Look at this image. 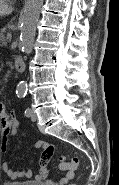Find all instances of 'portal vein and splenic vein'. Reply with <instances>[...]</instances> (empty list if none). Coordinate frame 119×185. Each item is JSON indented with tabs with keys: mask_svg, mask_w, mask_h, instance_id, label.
I'll return each mask as SVG.
<instances>
[{
	"mask_svg": "<svg viewBox=\"0 0 119 185\" xmlns=\"http://www.w3.org/2000/svg\"><path fill=\"white\" fill-rule=\"evenodd\" d=\"M7 38H8L9 40H11L12 34H11L10 32L7 33Z\"/></svg>",
	"mask_w": 119,
	"mask_h": 185,
	"instance_id": "obj_1",
	"label": "portal vein and splenic vein"
}]
</instances>
